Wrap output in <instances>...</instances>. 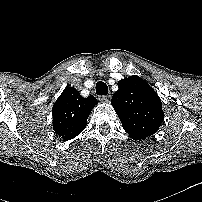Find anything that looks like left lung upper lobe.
Masks as SVG:
<instances>
[{
	"mask_svg": "<svg viewBox=\"0 0 202 202\" xmlns=\"http://www.w3.org/2000/svg\"><path fill=\"white\" fill-rule=\"evenodd\" d=\"M111 103L124 130L136 140L156 133L164 119L161 99L138 76L120 80Z\"/></svg>",
	"mask_w": 202,
	"mask_h": 202,
	"instance_id": "left-lung-upper-lobe-1",
	"label": "left lung upper lobe"
}]
</instances>
